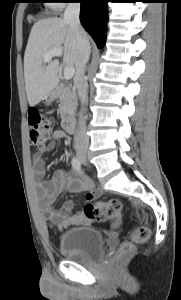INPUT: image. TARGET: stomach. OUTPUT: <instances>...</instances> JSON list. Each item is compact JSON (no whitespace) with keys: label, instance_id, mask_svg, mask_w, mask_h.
<instances>
[{"label":"stomach","instance_id":"0dacf381","mask_svg":"<svg viewBox=\"0 0 181 300\" xmlns=\"http://www.w3.org/2000/svg\"><path fill=\"white\" fill-rule=\"evenodd\" d=\"M57 97V91H52L50 94L45 96L42 101L43 103L49 105Z\"/></svg>","mask_w":181,"mask_h":300}]
</instances>
